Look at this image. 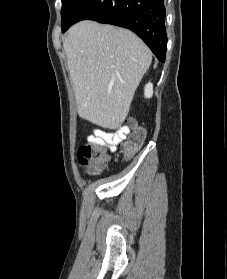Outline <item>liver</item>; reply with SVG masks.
Segmentation results:
<instances>
[{"mask_svg":"<svg viewBox=\"0 0 227 279\" xmlns=\"http://www.w3.org/2000/svg\"><path fill=\"white\" fill-rule=\"evenodd\" d=\"M63 49L79 116L119 128L151 64L149 48L127 29L85 20L69 29Z\"/></svg>","mask_w":227,"mask_h":279,"instance_id":"1","label":"liver"}]
</instances>
